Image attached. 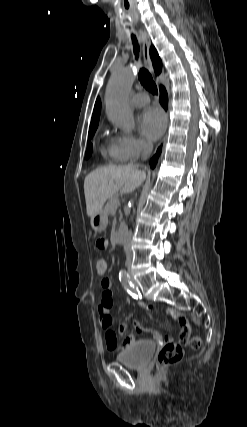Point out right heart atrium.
<instances>
[{"label":"right heart atrium","mask_w":247,"mask_h":427,"mask_svg":"<svg viewBox=\"0 0 247 427\" xmlns=\"http://www.w3.org/2000/svg\"><path fill=\"white\" fill-rule=\"evenodd\" d=\"M120 161L136 159L147 148L148 144L141 138L133 135H121L114 139Z\"/></svg>","instance_id":"1"}]
</instances>
